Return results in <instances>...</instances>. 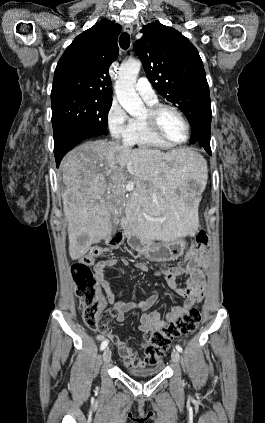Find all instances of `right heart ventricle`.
Instances as JSON below:
<instances>
[{
    "instance_id": "right-heart-ventricle-1",
    "label": "right heart ventricle",
    "mask_w": 265,
    "mask_h": 423,
    "mask_svg": "<svg viewBox=\"0 0 265 423\" xmlns=\"http://www.w3.org/2000/svg\"><path fill=\"white\" fill-rule=\"evenodd\" d=\"M146 103L150 107L156 104V102ZM124 141L128 145L137 146L141 149L166 150L172 147L155 137L143 118H132L130 120L129 129Z\"/></svg>"
}]
</instances>
